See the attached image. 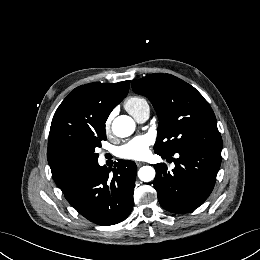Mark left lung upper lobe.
Here are the masks:
<instances>
[{"mask_svg":"<svg viewBox=\"0 0 260 260\" xmlns=\"http://www.w3.org/2000/svg\"><path fill=\"white\" fill-rule=\"evenodd\" d=\"M132 88L157 112L155 153L172 156L190 148H222L216 117L194 87L170 74H151L134 79Z\"/></svg>","mask_w":260,"mask_h":260,"instance_id":"obj_1","label":"left lung upper lobe"}]
</instances>
